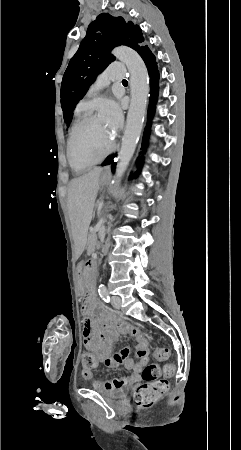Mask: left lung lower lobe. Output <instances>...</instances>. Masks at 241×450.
I'll use <instances>...</instances> for the list:
<instances>
[{
    "label": "left lung lower lobe",
    "mask_w": 241,
    "mask_h": 450,
    "mask_svg": "<svg viewBox=\"0 0 241 450\" xmlns=\"http://www.w3.org/2000/svg\"><path fill=\"white\" fill-rule=\"evenodd\" d=\"M140 56L144 60L146 67L148 69L149 76H150V103H149V108H148V122H149L155 111V104L157 101L158 89H159V86H158L159 72L157 69V62H156L155 55L152 53V51L150 49L144 50L140 54ZM148 131H149V128H147V130L144 134V137H143V143H142L143 150H145V148L147 147ZM115 157H116V155L108 156L106 158V160L104 161V163L102 164V166L112 164ZM115 165L116 164L112 165L113 171L115 169ZM139 171H140V168L138 169L137 173H139Z\"/></svg>",
    "instance_id": "obj_1"
}]
</instances>
